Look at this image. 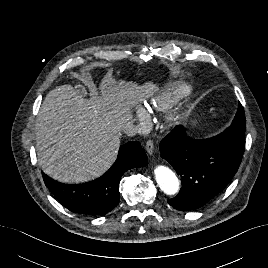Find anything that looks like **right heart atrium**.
Returning <instances> with one entry per match:
<instances>
[{
	"label": "right heart atrium",
	"instance_id": "right-heart-atrium-1",
	"mask_svg": "<svg viewBox=\"0 0 268 268\" xmlns=\"http://www.w3.org/2000/svg\"><path fill=\"white\" fill-rule=\"evenodd\" d=\"M149 116V111L145 107L139 106L136 111V118L139 123H143Z\"/></svg>",
	"mask_w": 268,
	"mask_h": 268
}]
</instances>
